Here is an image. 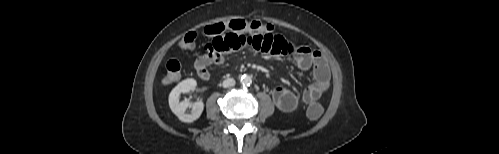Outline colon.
Listing matches in <instances>:
<instances>
[{
	"label": "colon",
	"instance_id": "1",
	"mask_svg": "<svg viewBox=\"0 0 499 154\" xmlns=\"http://www.w3.org/2000/svg\"><path fill=\"white\" fill-rule=\"evenodd\" d=\"M227 31L244 32H264L272 33L273 26L268 23H263L257 20L247 21L244 19H233L228 22H218L208 25L204 28L203 33L208 37H216ZM197 34L189 32L179 40V47L183 50H190L194 47ZM181 75V64L177 60H169L166 64L164 74V82L172 83L179 79ZM323 113V107L318 102H312L307 108V116L312 119H318Z\"/></svg>",
	"mask_w": 499,
	"mask_h": 154
}]
</instances>
